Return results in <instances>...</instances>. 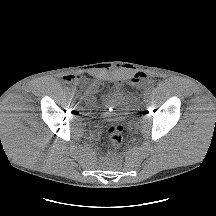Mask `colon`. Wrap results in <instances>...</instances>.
Here are the masks:
<instances>
[{
    "label": "colon",
    "mask_w": 216,
    "mask_h": 216,
    "mask_svg": "<svg viewBox=\"0 0 216 216\" xmlns=\"http://www.w3.org/2000/svg\"><path fill=\"white\" fill-rule=\"evenodd\" d=\"M124 129L121 125H111L108 128V138L109 142L112 146L118 147L123 142V135Z\"/></svg>",
    "instance_id": "5ec220e1"
}]
</instances>
